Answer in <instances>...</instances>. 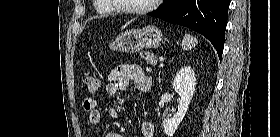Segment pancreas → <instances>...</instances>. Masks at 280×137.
I'll return each mask as SVG.
<instances>
[{
  "mask_svg": "<svg viewBox=\"0 0 280 137\" xmlns=\"http://www.w3.org/2000/svg\"><path fill=\"white\" fill-rule=\"evenodd\" d=\"M145 61L151 65H156L157 63V57L154 53L151 52H145L143 55H141Z\"/></svg>",
  "mask_w": 280,
  "mask_h": 137,
  "instance_id": "1",
  "label": "pancreas"
}]
</instances>
